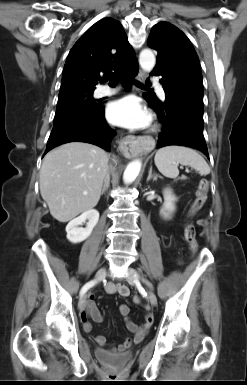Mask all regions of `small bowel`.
<instances>
[{
    "label": "small bowel",
    "mask_w": 247,
    "mask_h": 385,
    "mask_svg": "<svg viewBox=\"0 0 247 385\" xmlns=\"http://www.w3.org/2000/svg\"><path fill=\"white\" fill-rule=\"evenodd\" d=\"M105 291L108 294H118L124 297L129 296L130 294V289L128 286L124 284H115L112 282H108L105 285ZM136 302H140V299L138 298ZM119 313L123 317L126 328L134 335V337L127 339L124 343L116 346L113 349V351L116 353L123 352L128 349L132 343L140 341L153 323V315L150 312L145 315L144 322L141 325L134 323L129 316L130 310L128 306L124 304L119 306ZM89 319H92L95 322H101L103 319L101 312L96 306L95 296L93 294H90L87 297L86 307L81 313V321L85 331L87 332L91 331L92 329ZM95 341L99 347H104L106 344V338L103 335H97L95 337Z\"/></svg>",
    "instance_id": "1"
}]
</instances>
